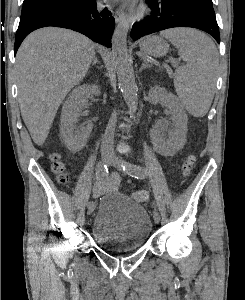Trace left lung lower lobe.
<instances>
[{
  "label": "left lung lower lobe",
  "instance_id": "obj_1",
  "mask_svg": "<svg viewBox=\"0 0 245 300\" xmlns=\"http://www.w3.org/2000/svg\"><path fill=\"white\" fill-rule=\"evenodd\" d=\"M151 15L135 23L131 37L145 35L173 27H192L212 35L220 43L219 27L212 5L200 0H146Z\"/></svg>",
  "mask_w": 245,
  "mask_h": 300
}]
</instances>
